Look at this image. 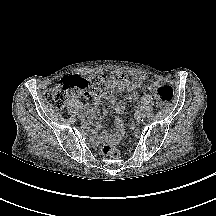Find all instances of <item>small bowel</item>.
Returning a JSON list of instances; mask_svg holds the SVG:
<instances>
[{
  "label": "small bowel",
  "mask_w": 216,
  "mask_h": 216,
  "mask_svg": "<svg viewBox=\"0 0 216 216\" xmlns=\"http://www.w3.org/2000/svg\"><path fill=\"white\" fill-rule=\"evenodd\" d=\"M96 84L92 86L88 91L84 92V95L91 99L93 104L97 105L102 100L108 101L114 110L118 114H123L125 111L126 103H132L137 100L136 91L143 88L146 91H154L157 84L149 83L145 75H137L133 78H128L123 72L114 71L108 77L95 78ZM103 83L104 89L100 88L99 84ZM116 92H126L125 99L119 100L115 96ZM158 98V96H157ZM89 124L94 127H99L100 117L96 111H90ZM118 130L116 133H103L98 140L104 142H117L124 134L122 120H117Z\"/></svg>",
  "instance_id": "small-bowel-1"
}]
</instances>
